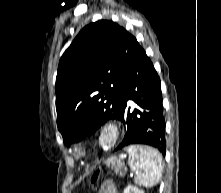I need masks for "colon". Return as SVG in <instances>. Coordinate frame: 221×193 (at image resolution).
<instances>
[{
	"instance_id": "colon-1",
	"label": "colon",
	"mask_w": 221,
	"mask_h": 193,
	"mask_svg": "<svg viewBox=\"0 0 221 193\" xmlns=\"http://www.w3.org/2000/svg\"><path fill=\"white\" fill-rule=\"evenodd\" d=\"M98 178H99V171L97 170L91 176V180H90L91 185H95L97 183V181H98Z\"/></svg>"
}]
</instances>
